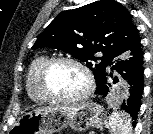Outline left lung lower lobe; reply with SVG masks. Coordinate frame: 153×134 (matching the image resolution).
Listing matches in <instances>:
<instances>
[{
	"mask_svg": "<svg viewBox=\"0 0 153 134\" xmlns=\"http://www.w3.org/2000/svg\"><path fill=\"white\" fill-rule=\"evenodd\" d=\"M113 63L115 65L111 67V71L115 70L121 74L130 85L129 98L123 103L122 109L128 112L133 120H137L144 87L143 51L141 44L131 51L125 60L116 59ZM110 77H112V73H104L97 83L95 94L107 95L109 87H111ZM113 82H118V78L115 77ZM135 124L136 122L134 121L133 126Z\"/></svg>",
	"mask_w": 153,
	"mask_h": 134,
	"instance_id": "left-lung-lower-lobe-1",
	"label": "left lung lower lobe"
}]
</instances>
